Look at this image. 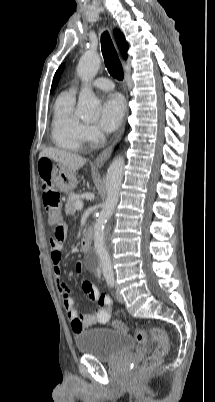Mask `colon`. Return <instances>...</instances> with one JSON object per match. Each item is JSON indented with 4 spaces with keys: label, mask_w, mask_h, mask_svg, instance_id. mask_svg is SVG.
I'll list each match as a JSON object with an SVG mask.
<instances>
[{
    "label": "colon",
    "mask_w": 215,
    "mask_h": 402,
    "mask_svg": "<svg viewBox=\"0 0 215 402\" xmlns=\"http://www.w3.org/2000/svg\"><path fill=\"white\" fill-rule=\"evenodd\" d=\"M52 168L53 161L49 156L39 157L38 172L42 187L43 204L48 215L49 224L57 225L58 227L61 223L60 195L53 188L51 183L50 172ZM114 325L116 328L123 329V325L118 321H116ZM135 337L140 344H147L150 342L155 344L153 353L143 362L140 375L144 376L160 364L161 359L169 350L170 342L165 330L159 327H154L149 330L137 329Z\"/></svg>",
    "instance_id": "colon-1"
}]
</instances>
